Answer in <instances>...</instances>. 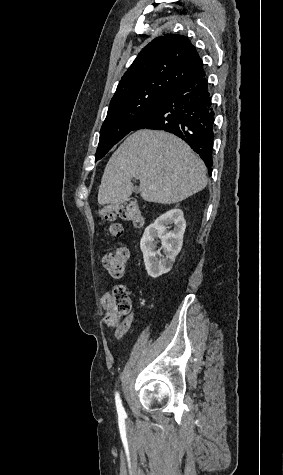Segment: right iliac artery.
<instances>
[{
  "instance_id": "1",
  "label": "right iliac artery",
  "mask_w": 283,
  "mask_h": 475,
  "mask_svg": "<svg viewBox=\"0 0 283 475\" xmlns=\"http://www.w3.org/2000/svg\"><path fill=\"white\" fill-rule=\"evenodd\" d=\"M115 399H116V407H117L118 416L125 418L126 413H125V410L122 406V403H121V400H120V397H119L118 393H116Z\"/></svg>"
}]
</instances>
